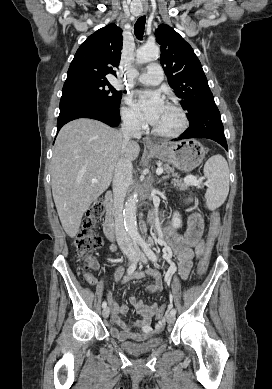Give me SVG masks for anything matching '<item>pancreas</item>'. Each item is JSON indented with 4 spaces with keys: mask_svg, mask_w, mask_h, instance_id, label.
I'll use <instances>...</instances> for the list:
<instances>
[{
    "mask_svg": "<svg viewBox=\"0 0 272 389\" xmlns=\"http://www.w3.org/2000/svg\"><path fill=\"white\" fill-rule=\"evenodd\" d=\"M165 172L168 174L165 178H169L171 176L175 177L174 179V185L178 187L180 190H187L189 186H194V184L186 182L185 179L188 178L186 177L183 181L179 179V174L174 171L172 167L169 165L165 164L162 167Z\"/></svg>",
    "mask_w": 272,
    "mask_h": 389,
    "instance_id": "pancreas-1",
    "label": "pancreas"
}]
</instances>
